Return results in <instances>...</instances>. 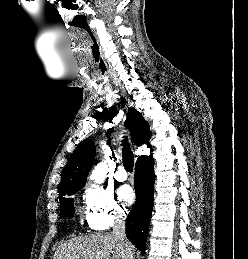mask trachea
Wrapping results in <instances>:
<instances>
[{"label":"trachea","mask_w":248,"mask_h":259,"mask_svg":"<svg viewBox=\"0 0 248 259\" xmlns=\"http://www.w3.org/2000/svg\"><path fill=\"white\" fill-rule=\"evenodd\" d=\"M127 139L123 140L122 145L123 147V165L125 167V169L128 172H132L133 171V165H134V156L132 151L129 148V145L126 143Z\"/></svg>","instance_id":"obj_1"}]
</instances>
